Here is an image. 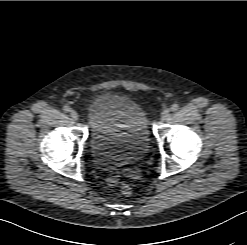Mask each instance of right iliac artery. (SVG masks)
<instances>
[{
  "mask_svg": "<svg viewBox=\"0 0 247 245\" xmlns=\"http://www.w3.org/2000/svg\"><path fill=\"white\" fill-rule=\"evenodd\" d=\"M63 110H64V112L68 113V112H70V107L69 106H64Z\"/></svg>",
  "mask_w": 247,
  "mask_h": 245,
  "instance_id": "1",
  "label": "right iliac artery"
}]
</instances>
